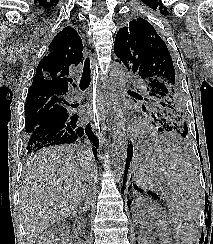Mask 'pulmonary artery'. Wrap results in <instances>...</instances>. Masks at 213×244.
I'll return each mask as SVG.
<instances>
[{"label": "pulmonary artery", "instance_id": "1", "mask_svg": "<svg viewBox=\"0 0 213 244\" xmlns=\"http://www.w3.org/2000/svg\"><path fill=\"white\" fill-rule=\"evenodd\" d=\"M82 97V92L78 91V90H74L72 93H71V99L73 101H78L79 99H81Z\"/></svg>", "mask_w": 213, "mask_h": 244}]
</instances>
